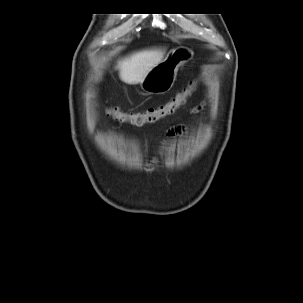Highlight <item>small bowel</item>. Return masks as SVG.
I'll use <instances>...</instances> for the list:
<instances>
[{
  "label": "small bowel",
  "mask_w": 303,
  "mask_h": 303,
  "mask_svg": "<svg viewBox=\"0 0 303 303\" xmlns=\"http://www.w3.org/2000/svg\"><path fill=\"white\" fill-rule=\"evenodd\" d=\"M175 130H176V129H172V130L169 132V135H174Z\"/></svg>",
  "instance_id": "c3829d8e"
}]
</instances>
